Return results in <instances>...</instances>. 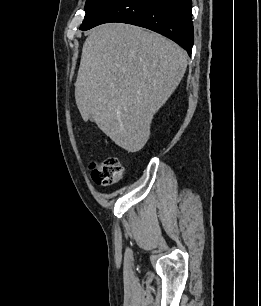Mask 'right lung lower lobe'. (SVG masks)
<instances>
[{
    "instance_id": "98d812e1",
    "label": "right lung lower lobe",
    "mask_w": 261,
    "mask_h": 306,
    "mask_svg": "<svg viewBox=\"0 0 261 306\" xmlns=\"http://www.w3.org/2000/svg\"><path fill=\"white\" fill-rule=\"evenodd\" d=\"M191 0H113L88 26L122 22L160 33L191 56L194 42Z\"/></svg>"
}]
</instances>
